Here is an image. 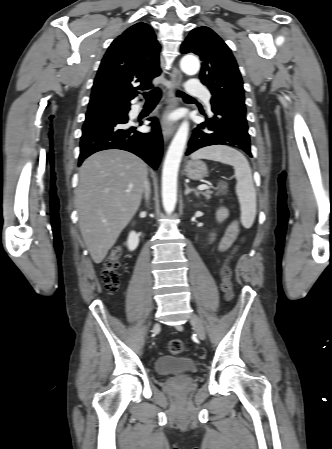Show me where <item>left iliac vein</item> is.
<instances>
[{"label":"left iliac vein","instance_id":"left-iliac-vein-1","mask_svg":"<svg viewBox=\"0 0 332 449\" xmlns=\"http://www.w3.org/2000/svg\"><path fill=\"white\" fill-rule=\"evenodd\" d=\"M190 322L194 327L195 332L199 337V339L201 340L205 339L206 333L201 319L196 314H192L190 317Z\"/></svg>","mask_w":332,"mask_h":449}]
</instances>
